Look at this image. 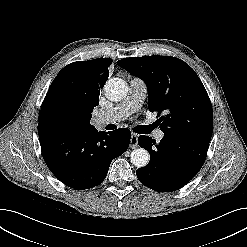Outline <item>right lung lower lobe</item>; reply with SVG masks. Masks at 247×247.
Wrapping results in <instances>:
<instances>
[{
  "mask_svg": "<svg viewBox=\"0 0 247 247\" xmlns=\"http://www.w3.org/2000/svg\"><path fill=\"white\" fill-rule=\"evenodd\" d=\"M43 158L50 171L65 185L88 189L105 179L111 161L129 146L131 132H67L38 124Z\"/></svg>",
  "mask_w": 247,
  "mask_h": 247,
  "instance_id": "1",
  "label": "right lung lower lobe"
}]
</instances>
